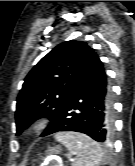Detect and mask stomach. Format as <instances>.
I'll use <instances>...</instances> for the list:
<instances>
[{
	"label": "stomach",
	"mask_w": 135,
	"mask_h": 166,
	"mask_svg": "<svg viewBox=\"0 0 135 166\" xmlns=\"http://www.w3.org/2000/svg\"><path fill=\"white\" fill-rule=\"evenodd\" d=\"M47 152L49 155L58 154L60 152V149L57 147H54V148H50Z\"/></svg>",
	"instance_id": "0dacf381"
}]
</instances>
